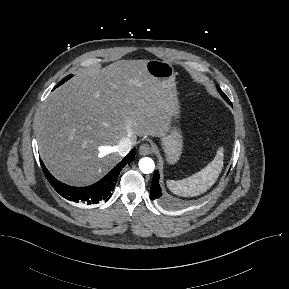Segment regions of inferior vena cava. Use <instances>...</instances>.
I'll return each mask as SVG.
<instances>
[{
	"label": "inferior vena cava",
	"mask_w": 289,
	"mask_h": 289,
	"mask_svg": "<svg viewBox=\"0 0 289 289\" xmlns=\"http://www.w3.org/2000/svg\"><path fill=\"white\" fill-rule=\"evenodd\" d=\"M132 148V140L129 137H123L118 145L117 151L121 156H125Z\"/></svg>",
	"instance_id": "inferior-vena-cava-1"
}]
</instances>
